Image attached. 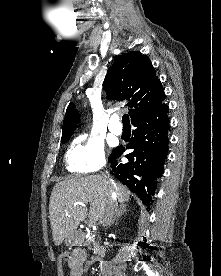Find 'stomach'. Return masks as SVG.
I'll list each match as a JSON object with an SVG mask.
<instances>
[{
    "instance_id": "obj_1",
    "label": "stomach",
    "mask_w": 221,
    "mask_h": 276,
    "mask_svg": "<svg viewBox=\"0 0 221 276\" xmlns=\"http://www.w3.org/2000/svg\"><path fill=\"white\" fill-rule=\"evenodd\" d=\"M80 242V236L76 232L66 238L65 243L67 246H77Z\"/></svg>"
}]
</instances>
